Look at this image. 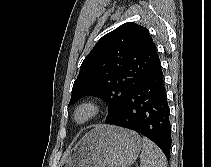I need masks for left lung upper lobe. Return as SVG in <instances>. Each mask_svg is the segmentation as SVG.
<instances>
[{"mask_svg":"<svg viewBox=\"0 0 211 167\" xmlns=\"http://www.w3.org/2000/svg\"><path fill=\"white\" fill-rule=\"evenodd\" d=\"M158 53L147 28L124 23L104 35L81 64L68 106L83 96L104 99L114 118L129 93L151 72Z\"/></svg>","mask_w":211,"mask_h":167,"instance_id":"5c2ea615","label":"left lung upper lobe"}]
</instances>
